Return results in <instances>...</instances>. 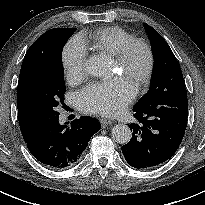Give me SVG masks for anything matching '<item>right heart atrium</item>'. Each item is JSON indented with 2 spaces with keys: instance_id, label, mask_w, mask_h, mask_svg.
I'll use <instances>...</instances> for the list:
<instances>
[{
  "instance_id": "obj_1",
  "label": "right heart atrium",
  "mask_w": 205,
  "mask_h": 205,
  "mask_svg": "<svg viewBox=\"0 0 205 205\" xmlns=\"http://www.w3.org/2000/svg\"><path fill=\"white\" fill-rule=\"evenodd\" d=\"M87 55V48L80 37L74 36L67 41L61 60L69 82L76 83L84 78Z\"/></svg>"
}]
</instances>
